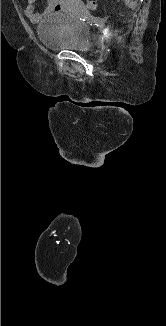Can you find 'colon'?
<instances>
[{
	"mask_svg": "<svg viewBox=\"0 0 166 326\" xmlns=\"http://www.w3.org/2000/svg\"><path fill=\"white\" fill-rule=\"evenodd\" d=\"M87 7L90 9H95L96 8V1L95 0H89L87 3Z\"/></svg>",
	"mask_w": 166,
	"mask_h": 326,
	"instance_id": "obj_1",
	"label": "colon"
}]
</instances>
